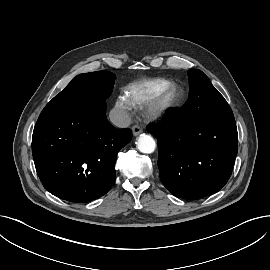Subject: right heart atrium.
Instances as JSON below:
<instances>
[{"instance_id":"obj_1","label":"right heart atrium","mask_w":270,"mask_h":270,"mask_svg":"<svg viewBox=\"0 0 270 270\" xmlns=\"http://www.w3.org/2000/svg\"><path fill=\"white\" fill-rule=\"evenodd\" d=\"M116 106L119 110L123 111L126 114V111L131 108V104L127 100V98L123 95L119 96L116 101Z\"/></svg>"}]
</instances>
